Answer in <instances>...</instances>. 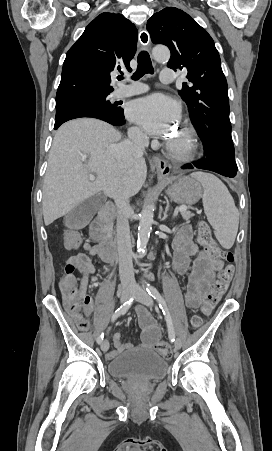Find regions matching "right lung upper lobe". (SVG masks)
<instances>
[{"label": "right lung upper lobe", "mask_w": 272, "mask_h": 451, "mask_svg": "<svg viewBox=\"0 0 272 451\" xmlns=\"http://www.w3.org/2000/svg\"><path fill=\"white\" fill-rule=\"evenodd\" d=\"M138 31L121 14L102 13L69 49L56 99L110 94L111 71L130 69Z\"/></svg>", "instance_id": "obj_1"}]
</instances>
